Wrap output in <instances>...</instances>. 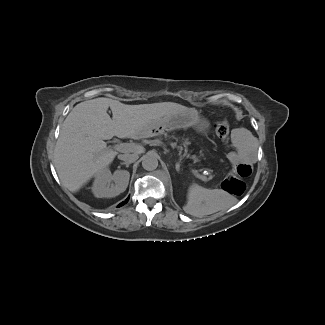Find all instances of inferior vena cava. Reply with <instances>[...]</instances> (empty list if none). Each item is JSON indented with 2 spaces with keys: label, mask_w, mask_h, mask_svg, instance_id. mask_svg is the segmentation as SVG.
I'll list each match as a JSON object with an SVG mask.
<instances>
[{
  "label": "inferior vena cava",
  "mask_w": 325,
  "mask_h": 325,
  "mask_svg": "<svg viewBox=\"0 0 325 325\" xmlns=\"http://www.w3.org/2000/svg\"><path fill=\"white\" fill-rule=\"evenodd\" d=\"M120 160L125 161L126 163H133L138 159L137 154H120L118 155Z\"/></svg>",
  "instance_id": "obj_1"
}]
</instances>
